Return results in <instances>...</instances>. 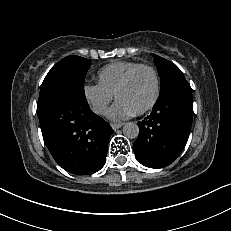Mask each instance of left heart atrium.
<instances>
[{
  "mask_svg": "<svg viewBox=\"0 0 231 231\" xmlns=\"http://www.w3.org/2000/svg\"><path fill=\"white\" fill-rule=\"evenodd\" d=\"M134 113L129 106L118 100L109 110L108 116L113 120H121L133 116Z\"/></svg>",
  "mask_w": 231,
  "mask_h": 231,
  "instance_id": "39dd6f15",
  "label": "left heart atrium"
}]
</instances>
